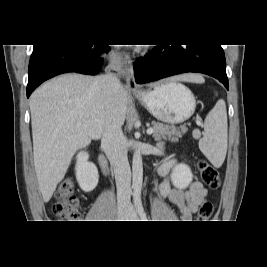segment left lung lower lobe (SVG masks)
Wrapping results in <instances>:
<instances>
[{
	"label": "left lung lower lobe",
	"mask_w": 267,
	"mask_h": 267,
	"mask_svg": "<svg viewBox=\"0 0 267 267\" xmlns=\"http://www.w3.org/2000/svg\"><path fill=\"white\" fill-rule=\"evenodd\" d=\"M138 84L186 72L215 77L228 89L226 61L221 45H162L134 63Z\"/></svg>",
	"instance_id": "obj_1"
}]
</instances>
